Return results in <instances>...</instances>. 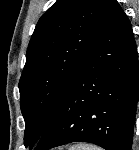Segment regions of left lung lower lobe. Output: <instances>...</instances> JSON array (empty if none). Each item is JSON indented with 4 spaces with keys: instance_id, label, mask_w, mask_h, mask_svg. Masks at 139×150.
Masks as SVG:
<instances>
[{
    "instance_id": "left-lung-lower-lobe-1",
    "label": "left lung lower lobe",
    "mask_w": 139,
    "mask_h": 150,
    "mask_svg": "<svg viewBox=\"0 0 139 150\" xmlns=\"http://www.w3.org/2000/svg\"><path fill=\"white\" fill-rule=\"evenodd\" d=\"M138 101L136 42L131 24L116 1L34 150L71 142L131 150Z\"/></svg>"
}]
</instances>
